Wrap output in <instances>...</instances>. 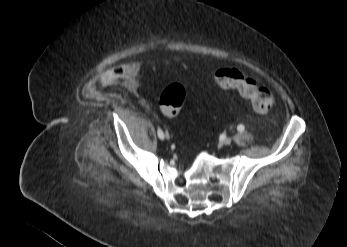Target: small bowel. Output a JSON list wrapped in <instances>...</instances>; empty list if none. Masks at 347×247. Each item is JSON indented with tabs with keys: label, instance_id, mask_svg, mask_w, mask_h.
<instances>
[{
	"label": "small bowel",
	"instance_id": "small-bowel-1",
	"mask_svg": "<svg viewBox=\"0 0 347 247\" xmlns=\"http://www.w3.org/2000/svg\"><path fill=\"white\" fill-rule=\"evenodd\" d=\"M140 69L135 63H125L116 67H109L99 77V82L120 81L128 89L137 90Z\"/></svg>",
	"mask_w": 347,
	"mask_h": 247
}]
</instances>
